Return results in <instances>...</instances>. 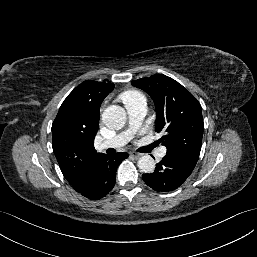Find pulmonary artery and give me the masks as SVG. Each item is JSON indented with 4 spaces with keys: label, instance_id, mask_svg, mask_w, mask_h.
Segmentation results:
<instances>
[{
    "label": "pulmonary artery",
    "instance_id": "pulmonary-artery-1",
    "mask_svg": "<svg viewBox=\"0 0 257 257\" xmlns=\"http://www.w3.org/2000/svg\"><path fill=\"white\" fill-rule=\"evenodd\" d=\"M126 110L129 116V128L116 136L103 141L100 143V149L107 148H119L124 146L126 143L130 141L134 131L141 124L144 116L147 112V104L146 101L140 100L129 103L126 105ZM166 154V148L161 147L158 151V157H163Z\"/></svg>",
    "mask_w": 257,
    "mask_h": 257
}]
</instances>
